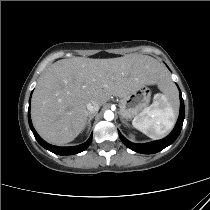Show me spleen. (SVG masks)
<instances>
[{
  "label": "spleen",
  "mask_w": 210,
  "mask_h": 210,
  "mask_svg": "<svg viewBox=\"0 0 210 210\" xmlns=\"http://www.w3.org/2000/svg\"><path fill=\"white\" fill-rule=\"evenodd\" d=\"M163 92V94H156L153 103L132 121L134 128L152 139L164 137L175 124V113L172 106L175 89L170 80L167 81Z\"/></svg>",
  "instance_id": "3e777b00"
}]
</instances>
